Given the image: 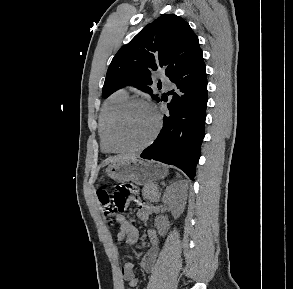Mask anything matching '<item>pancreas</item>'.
Segmentation results:
<instances>
[{"label":"pancreas","instance_id":"1","mask_svg":"<svg viewBox=\"0 0 293 289\" xmlns=\"http://www.w3.org/2000/svg\"><path fill=\"white\" fill-rule=\"evenodd\" d=\"M143 198L150 202H158L160 193L156 184H147L142 190Z\"/></svg>","mask_w":293,"mask_h":289}]
</instances>
